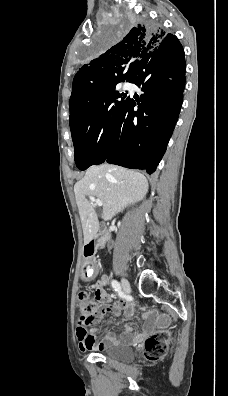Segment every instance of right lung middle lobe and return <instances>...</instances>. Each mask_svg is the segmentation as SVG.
Returning <instances> with one entry per match:
<instances>
[{"label": "right lung middle lobe", "instance_id": "1", "mask_svg": "<svg viewBox=\"0 0 228 396\" xmlns=\"http://www.w3.org/2000/svg\"><path fill=\"white\" fill-rule=\"evenodd\" d=\"M127 21L134 22L132 18ZM129 26L125 21L119 23L95 44L91 54L105 51L128 31ZM116 84L102 93L81 114L70 119L75 162L80 170L103 163L106 158L109 136L126 98L125 93L115 90Z\"/></svg>", "mask_w": 228, "mask_h": 396}]
</instances>
